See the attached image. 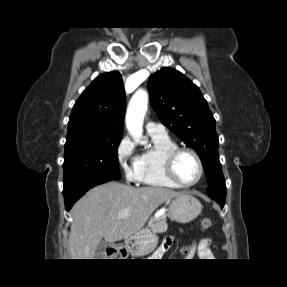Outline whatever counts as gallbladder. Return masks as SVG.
Segmentation results:
<instances>
[{
	"label": "gallbladder",
	"instance_id": "bac80fb5",
	"mask_svg": "<svg viewBox=\"0 0 287 287\" xmlns=\"http://www.w3.org/2000/svg\"><path fill=\"white\" fill-rule=\"evenodd\" d=\"M106 248H107V242L101 240V242L98 244L95 250V259H103L105 257Z\"/></svg>",
	"mask_w": 287,
	"mask_h": 287
}]
</instances>
